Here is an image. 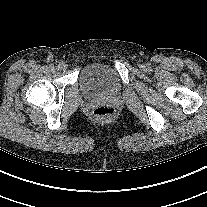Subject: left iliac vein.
I'll return each mask as SVG.
<instances>
[{
	"instance_id": "obj_1",
	"label": "left iliac vein",
	"mask_w": 207,
	"mask_h": 207,
	"mask_svg": "<svg viewBox=\"0 0 207 207\" xmlns=\"http://www.w3.org/2000/svg\"><path fill=\"white\" fill-rule=\"evenodd\" d=\"M140 67H141L142 69H145V68H146V65L141 64Z\"/></svg>"
}]
</instances>
